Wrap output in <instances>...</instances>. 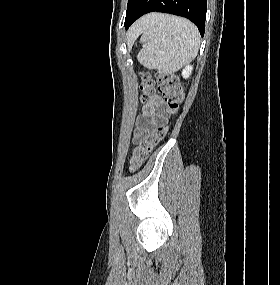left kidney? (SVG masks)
<instances>
[{"label":"left kidney","mask_w":280,"mask_h":285,"mask_svg":"<svg viewBox=\"0 0 280 285\" xmlns=\"http://www.w3.org/2000/svg\"><path fill=\"white\" fill-rule=\"evenodd\" d=\"M193 70V66L192 65H186V67L182 70V76L183 78L187 79L191 76Z\"/></svg>","instance_id":"5707ae66"}]
</instances>
